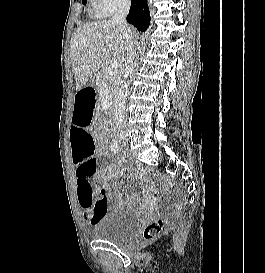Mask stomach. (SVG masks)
Segmentation results:
<instances>
[{"label":"stomach","mask_w":265,"mask_h":273,"mask_svg":"<svg viewBox=\"0 0 265 273\" xmlns=\"http://www.w3.org/2000/svg\"><path fill=\"white\" fill-rule=\"evenodd\" d=\"M79 89L80 90H93L94 86L93 85H80Z\"/></svg>","instance_id":"1"}]
</instances>
